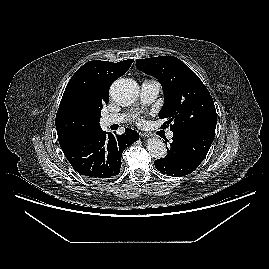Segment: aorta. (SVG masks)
<instances>
[{"mask_svg": "<svg viewBox=\"0 0 269 269\" xmlns=\"http://www.w3.org/2000/svg\"><path fill=\"white\" fill-rule=\"evenodd\" d=\"M138 85L132 79H118L113 82L110 88L112 99L121 106L131 105L138 96ZM147 150L155 159H162L166 156L167 149L164 142L158 138H150L147 141Z\"/></svg>", "mask_w": 269, "mask_h": 269, "instance_id": "1", "label": "aorta"}]
</instances>
